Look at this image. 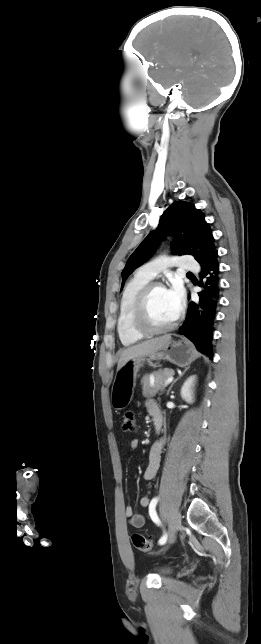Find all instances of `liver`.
Segmentation results:
<instances>
[{
    "label": "liver",
    "mask_w": 261,
    "mask_h": 644,
    "mask_svg": "<svg viewBox=\"0 0 261 644\" xmlns=\"http://www.w3.org/2000/svg\"><path fill=\"white\" fill-rule=\"evenodd\" d=\"M170 340H171V335L168 334L158 338L144 341L142 343L130 346L122 350L120 354V358L118 360L117 371L120 370L122 366L131 358L148 355L158 350L162 346H164Z\"/></svg>",
    "instance_id": "liver-1"
}]
</instances>
